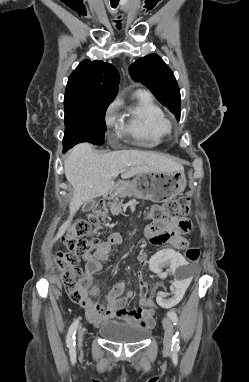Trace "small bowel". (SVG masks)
<instances>
[{
	"label": "small bowel",
	"instance_id": "1",
	"mask_svg": "<svg viewBox=\"0 0 249 382\" xmlns=\"http://www.w3.org/2000/svg\"><path fill=\"white\" fill-rule=\"evenodd\" d=\"M191 229L192 221L189 217L172 215L147 227L144 234L153 246H159L160 249L164 250L167 247L164 243H168L172 246V249L168 250H180L187 244L183 235L189 233ZM121 242L122 237L119 233H111L107 240L101 242L94 251L83 255L86 264L83 288L85 297L78 304L84 308L87 319L96 326H100L108 320L117 319L151 328L154 325V301L146 295L144 298L141 297L139 308L128 310L126 306L133 297L134 291L125 290L123 282L114 284L102 296L104 305L93 299L94 296H100L99 287L94 285V274L101 270V263L108 260L112 247L121 244ZM141 260H147L145 252L139 253V263Z\"/></svg>",
	"mask_w": 249,
	"mask_h": 382
}]
</instances>
